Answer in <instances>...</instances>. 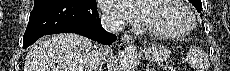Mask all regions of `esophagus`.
<instances>
[{
  "label": "esophagus",
  "mask_w": 230,
  "mask_h": 71,
  "mask_svg": "<svg viewBox=\"0 0 230 71\" xmlns=\"http://www.w3.org/2000/svg\"><path fill=\"white\" fill-rule=\"evenodd\" d=\"M121 41L127 45H132L134 43V39L132 38L131 35L128 34H124L121 38Z\"/></svg>",
  "instance_id": "esophagus-1"
}]
</instances>
